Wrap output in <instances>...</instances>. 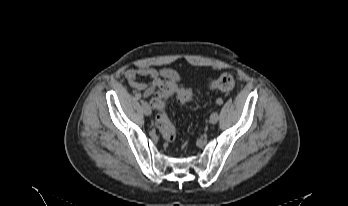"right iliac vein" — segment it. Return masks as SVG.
<instances>
[{"instance_id":"63e3f726","label":"right iliac vein","mask_w":348,"mask_h":206,"mask_svg":"<svg viewBox=\"0 0 348 206\" xmlns=\"http://www.w3.org/2000/svg\"><path fill=\"white\" fill-rule=\"evenodd\" d=\"M142 109H143V112L146 116L151 115L152 111H151V108L147 102H142Z\"/></svg>"}]
</instances>
